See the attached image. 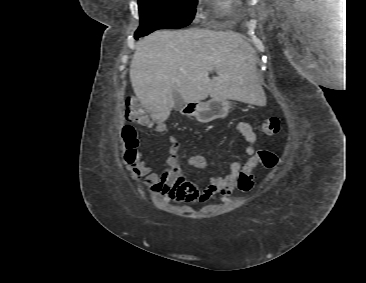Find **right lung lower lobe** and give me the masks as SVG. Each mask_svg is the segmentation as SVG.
<instances>
[{
  "mask_svg": "<svg viewBox=\"0 0 366 283\" xmlns=\"http://www.w3.org/2000/svg\"><path fill=\"white\" fill-rule=\"evenodd\" d=\"M135 38L137 39L138 38V35H135Z\"/></svg>",
  "mask_w": 366,
  "mask_h": 283,
  "instance_id": "right-lung-lower-lobe-1",
  "label": "right lung lower lobe"
}]
</instances>
